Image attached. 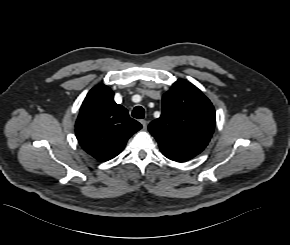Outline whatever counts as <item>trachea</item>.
I'll list each match as a JSON object with an SVG mask.
<instances>
[{
    "label": "trachea",
    "instance_id": "trachea-1",
    "mask_svg": "<svg viewBox=\"0 0 290 245\" xmlns=\"http://www.w3.org/2000/svg\"><path fill=\"white\" fill-rule=\"evenodd\" d=\"M145 111L141 106H136L132 111V116L136 119H143Z\"/></svg>",
    "mask_w": 290,
    "mask_h": 245
}]
</instances>
